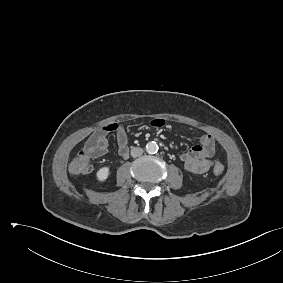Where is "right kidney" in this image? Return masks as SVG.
<instances>
[{
    "label": "right kidney",
    "instance_id": "right-kidney-1",
    "mask_svg": "<svg viewBox=\"0 0 283 283\" xmlns=\"http://www.w3.org/2000/svg\"><path fill=\"white\" fill-rule=\"evenodd\" d=\"M109 174H110L109 167H102L97 171L96 177L98 181L103 182L108 178Z\"/></svg>",
    "mask_w": 283,
    "mask_h": 283
}]
</instances>
